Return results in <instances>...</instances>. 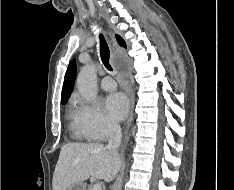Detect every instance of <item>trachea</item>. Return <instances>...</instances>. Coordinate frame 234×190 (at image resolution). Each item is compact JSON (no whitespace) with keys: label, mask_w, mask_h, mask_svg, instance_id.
Returning <instances> with one entry per match:
<instances>
[{"label":"trachea","mask_w":234,"mask_h":190,"mask_svg":"<svg viewBox=\"0 0 234 190\" xmlns=\"http://www.w3.org/2000/svg\"><path fill=\"white\" fill-rule=\"evenodd\" d=\"M100 38V55H101V60L104 64V66L112 71V67L109 63V59H110V50L109 47L105 41V38L103 37L102 34L99 35Z\"/></svg>","instance_id":"1"}]
</instances>
